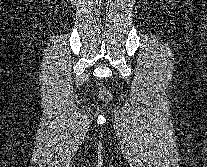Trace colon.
Masks as SVG:
<instances>
[{
  "instance_id": "colon-1",
  "label": "colon",
  "mask_w": 207,
  "mask_h": 167,
  "mask_svg": "<svg viewBox=\"0 0 207 167\" xmlns=\"http://www.w3.org/2000/svg\"><path fill=\"white\" fill-rule=\"evenodd\" d=\"M99 95L105 101H109L111 99V94L106 90H101Z\"/></svg>"
}]
</instances>
